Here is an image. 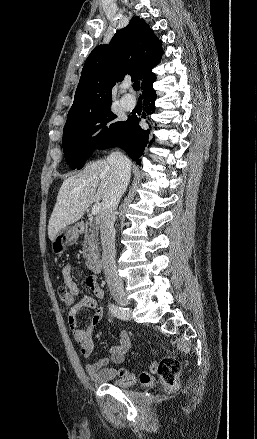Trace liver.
Wrapping results in <instances>:
<instances>
[{
  "mask_svg": "<svg viewBox=\"0 0 257 439\" xmlns=\"http://www.w3.org/2000/svg\"><path fill=\"white\" fill-rule=\"evenodd\" d=\"M113 175L105 160L90 162L78 174L65 179L48 224L51 241L65 227L80 220L93 202L104 200Z\"/></svg>",
  "mask_w": 257,
  "mask_h": 439,
  "instance_id": "6515ba94",
  "label": "liver"
}]
</instances>
